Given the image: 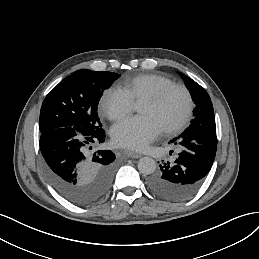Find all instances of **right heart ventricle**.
<instances>
[{"label": "right heart ventricle", "instance_id": "1", "mask_svg": "<svg viewBox=\"0 0 259 259\" xmlns=\"http://www.w3.org/2000/svg\"><path fill=\"white\" fill-rule=\"evenodd\" d=\"M174 83L173 80L162 74H133L125 75L118 82L115 90L132 103H141L151 97L164 86Z\"/></svg>", "mask_w": 259, "mask_h": 259}]
</instances>
